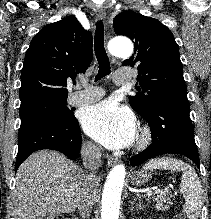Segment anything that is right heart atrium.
<instances>
[{
	"mask_svg": "<svg viewBox=\"0 0 211 219\" xmlns=\"http://www.w3.org/2000/svg\"><path fill=\"white\" fill-rule=\"evenodd\" d=\"M84 148L86 151L91 152V153H95L98 150L96 145L90 141H86L84 143Z\"/></svg>",
	"mask_w": 211,
	"mask_h": 219,
	"instance_id": "right-heart-atrium-1",
	"label": "right heart atrium"
}]
</instances>
